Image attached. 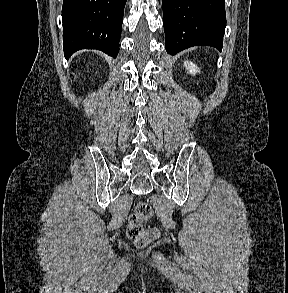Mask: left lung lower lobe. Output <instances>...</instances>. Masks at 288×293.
<instances>
[{
	"mask_svg": "<svg viewBox=\"0 0 288 293\" xmlns=\"http://www.w3.org/2000/svg\"><path fill=\"white\" fill-rule=\"evenodd\" d=\"M166 51L192 46L222 50L226 27L224 0H162Z\"/></svg>",
	"mask_w": 288,
	"mask_h": 293,
	"instance_id": "left-lung-lower-lobe-1",
	"label": "left lung lower lobe"
}]
</instances>
